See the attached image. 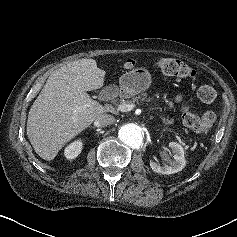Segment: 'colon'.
<instances>
[{
    "label": "colon",
    "mask_w": 237,
    "mask_h": 237,
    "mask_svg": "<svg viewBox=\"0 0 237 237\" xmlns=\"http://www.w3.org/2000/svg\"><path fill=\"white\" fill-rule=\"evenodd\" d=\"M126 64L128 67L134 68L137 66L138 62L132 59L128 60ZM155 65L168 76L189 78L191 80H196L198 78L197 72L194 69L177 59H158L156 60ZM197 96L204 103H212L216 99L217 93L213 87L202 85L197 90ZM182 121L185 126L203 133L207 132V130L215 123L216 115L212 111H207L200 119L192 112L191 105L187 103L182 109Z\"/></svg>",
    "instance_id": "1"
}]
</instances>
